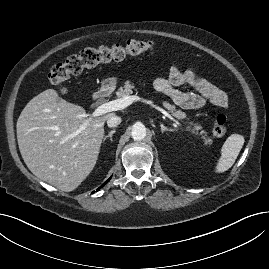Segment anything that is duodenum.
I'll list each match as a JSON object with an SVG mask.
<instances>
[{"mask_svg":"<svg viewBox=\"0 0 269 269\" xmlns=\"http://www.w3.org/2000/svg\"><path fill=\"white\" fill-rule=\"evenodd\" d=\"M109 95V88L102 86L94 95L93 100L96 103H102Z\"/></svg>","mask_w":269,"mask_h":269,"instance_id":"410a0bca","label":"duodenum"}]
</instances>
